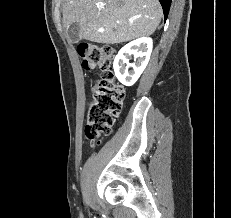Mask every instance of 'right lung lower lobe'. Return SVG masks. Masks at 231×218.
I'll list each match as a JSON object with an SVG mask.
<instances>
[{
  "instance_id": "1",
  "label": "right lung lower lobe",
  "mask_w": 231,
  "mask_h": 218,
  "mask_svg": "<svg viewBox=\"0 0 231 218\" xmlns=\"http://www.w3.org/2000/svg\"><path fill=\"white\" fill-rule=\"evenodd\" d=\"M159 1H160L161 5H162L163 12H164V17L166 19L167 16H168V13H169L171 0H159Z\"/></svg>"
}]
</instances>
